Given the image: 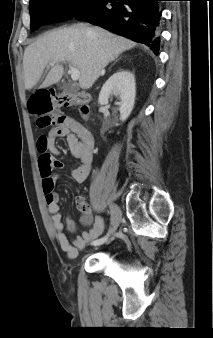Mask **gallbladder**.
Instances as JSON below:
<instances>
[{"label": "gallbladder", "mask_w": 213, "mask_h": 338, "mask_svg": "<svg viewBox=\"0 0 213 338\" xmlns=\"http://www.w3.org/2000/svg\"><path fill=\"white\" fill-rule=\"evenodd\" d=\"M62 89L65 90V91H68V92L75 90V88L73 86L69 85V84H63Z\"/></svg>", "instance_id": "obj_1"}]
</instances>
